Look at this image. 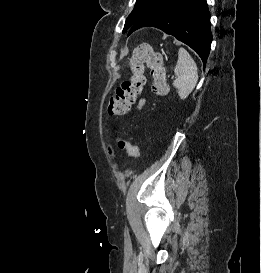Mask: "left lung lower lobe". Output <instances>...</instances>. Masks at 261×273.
I'll return each mask as SVG.
<instances>
[{
	"instance_id": "1",
	"label": "left lung lower lobe",
	"mask_w": 261,
	"mask_h": 273,
	"mask_svg": "<svg viewBox=\"0 0 261 273\" xmlns=\"http://www.w3.org/2000/svg\"><path fill=\"white\" fill-rule=\"evenodd\" d=\"M146 26L161 29L187 44L205 66L212 42L206 0H169L136 22L128 34Z\"/></svg>"
}]
</instances>
